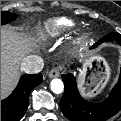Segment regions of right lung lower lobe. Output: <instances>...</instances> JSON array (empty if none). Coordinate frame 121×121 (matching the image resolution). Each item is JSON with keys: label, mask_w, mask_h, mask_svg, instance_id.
I'll return each instance as SVG.
<instances>
[{"label": "right lung lower lobe", "mask_w": 121, "mask_h": 121, "mask_svg": "<svg viewBox=\"0 0 121 121\" xmlns=\"http://www.w3.org/2000/svg\"><path fill=\"white\" fill-rule=\"evenodd\" d=\"M42 82V75H24L12 94L1 101V121H19L28 107L31 90Z\"/></svg>", "instance_id": "right-lung-lower-lobe-1"}]
</instances>
